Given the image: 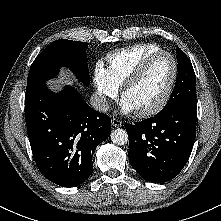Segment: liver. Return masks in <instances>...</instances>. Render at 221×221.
Wrapping results in <instances>:
<instances>
[{"instance_id": "1", "label": "liver", "mask_w": 221, "mask_h": 221, "mask_svg": "<svg viewBox=\"0 0 221 221\" xmlns=\"http://www.w3.org/2000/svg\"><path fill=\"white\" fill-rule=\"evenodd\" d=\"M71 83H72L71 74L67 72L66 70H62L60 73V78L57 80H52L48 84L53 89H58L62 85L71 84Z\"/></svg>"}]
</instances>
